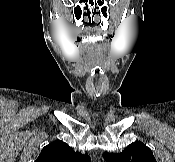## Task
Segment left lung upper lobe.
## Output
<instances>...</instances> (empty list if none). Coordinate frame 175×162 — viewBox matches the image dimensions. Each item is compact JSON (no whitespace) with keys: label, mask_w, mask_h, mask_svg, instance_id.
Masks as SVG:
<instances>
[{"label":"left lung upper lobe","mask_w":175,"mask_h":162,"mask_svg":"<svg viewBox=\"0 0 175 162\" xmlns=\"http://www.w3.org/2000/svg\"><path fill=\"white\" fill-rule=\"evenodd\" d=\"M106 162H156L149 147L142 142L128 145L121 153L104 152Z\"/></svg>","instance_id":"left-lung-upper-lobe-1"}]
</instances>
